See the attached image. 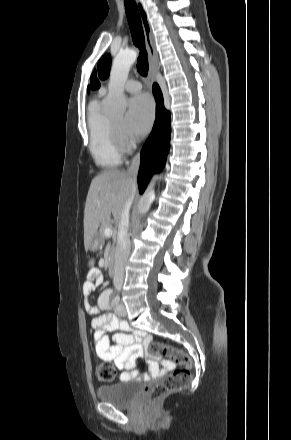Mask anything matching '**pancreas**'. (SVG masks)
<instances>
[{"mask_svg":"<svg viewBox=\"0 0 291 440\" xmlns=\"http://www.w3.org/2000/svg\"><path fill=\"white\" fill-rule=\"evenodd\" d=\"M107 227H111L110 218H107L105 221L101 222L100 229H99V237L101 240H104V238H105L104 231ZM115 241H116V236H113V245L115 244Z\"/></svg>","mask_w":291,"mask_h":440,"instance_id":"obj_1","label":"pancreas"}]
</instances>
